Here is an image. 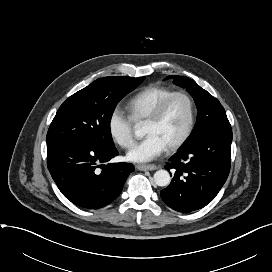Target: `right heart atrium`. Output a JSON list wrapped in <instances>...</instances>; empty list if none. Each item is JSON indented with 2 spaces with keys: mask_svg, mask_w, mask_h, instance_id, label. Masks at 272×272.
I'll return each instance as SVG.
<instances>
[{
  "mask_svg": "<svg viewBox=\"0 0 272 272\" xmlns=\"http://www.w3.org/2000/svg\"><path fill=\"white\" fill-rule=\"evenodd\" d=\"M108 132L115 143L122 148H129L134 141V121L119 108H115L108 118Z\"/></svg>",
  "mask_w": 272,
  "mask_h": 272,
  "instance_id": "d8ad5b80",
  "label": "right heart atrium"
}]
</instances>
